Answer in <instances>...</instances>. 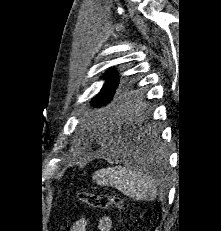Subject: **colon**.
Returning <instances> with one entry per match:
<instances>
[{
  "instance_id": "1",
  "label": "colon",
  "mask_w": 221,
  "mask_h": 231,
  "mask_svg": "<svg viewBox=\"0 0 221 231\" xmlns=\"http://www.w3.org/2000/svg\"><path fill=\"white\" fill-rule=\"evenodd\" d=\"M78 198L93 208L106 209L109 207H114L118 210H125L126 203L125 201L118 196L107 195V194H95L88 191H79Z\"/></svg>"
}]
</instances>
